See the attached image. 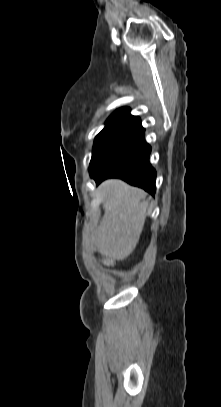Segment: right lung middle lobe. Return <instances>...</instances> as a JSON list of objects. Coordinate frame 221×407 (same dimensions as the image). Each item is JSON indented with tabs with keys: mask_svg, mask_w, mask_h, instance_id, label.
Returning a JSON list of instances; mask_svg holds the SVG:
<instances>
[{
	"mask_svg": "<svg viewBox=\"0 0 221 407\" xmlns=\"http://www.w3.org/2000/svg\"><path fill=\"white\" fill-rule=\"evenodd\" d=\"M139 128H113L102 130L95 138L89 171L93 177L101 171L122 145L132 137Z\"/></svg>",
	"mask_w": 221,
	"mask_h": 407,
	"instance_id": "1",
	"label": "right lung middle lobe"
}]
</instances>
